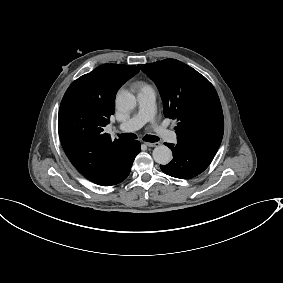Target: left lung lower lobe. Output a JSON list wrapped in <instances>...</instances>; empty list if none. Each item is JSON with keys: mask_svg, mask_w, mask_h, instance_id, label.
<instances>
[{"mask_svg": "<svg viewBox=\"0 0 283 283\" xmlns=\"http://www.w3.org/2000/svg\"><path fill=\"white\" fill-rule=\"evenodd\" d=\"M173 152V160L160 165L161 170L172 177L189 179L202 173L213 160L214 155L188 148L182 144L165 143Z\"/></svg>", "mask_w": 283, "mask_h": 283, "instance_id": "obj_1", "label": "left lung lower lobe"}]
</instances>
